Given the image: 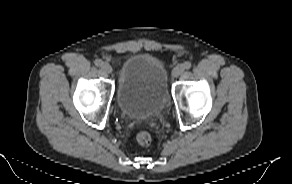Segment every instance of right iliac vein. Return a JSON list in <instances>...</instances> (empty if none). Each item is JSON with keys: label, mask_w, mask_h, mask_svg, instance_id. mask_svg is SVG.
Returning a JSON list of instances; mask_svg holds the SVG:
<instances>
[{"label": "right iliac vein", "mask_w": 292, "mask_h": 184, "mask_svg": "<svg viewBox=\"0 0 292 184\" xmlns=\"http://www.w3.org/2000/svg\"><path fill=\"white\" fill-rule=\"evenodd\" d=\"M102 70L105 72V73H107V74H110L111 72H112V67H111V65L110 64H108V63H103V65H102Z\"/></svg>", "instance_id": "1"}]
</instances>
